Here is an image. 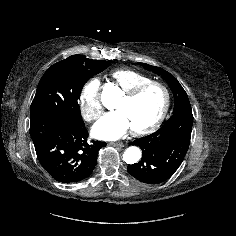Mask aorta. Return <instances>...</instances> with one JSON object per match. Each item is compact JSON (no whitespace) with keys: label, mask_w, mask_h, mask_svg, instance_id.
<instances>
[{"label":"aorta","mask_w":236,"mask_h":236,"mask_svg":"<svg viewBox=\"0 0 236 236\" xmlns=\"http://www.w3.org/2000/svg\"><path fill=\"white\" fill-rule=\"evenodd\" d=\"M117 93H118V89L114 87L104 89L103 94H102L103 103H105V100L107 98L113 97ZM140 158H141V150L136 146L128 147L123 154V160L127 164L137 163L140 160Z\"/></svg>","instance_id":"obj_1"}]
</instances>
